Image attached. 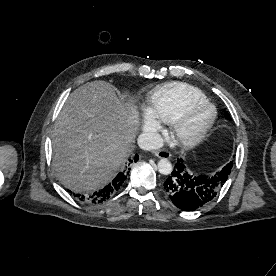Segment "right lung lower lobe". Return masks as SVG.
<instances>
[{
  "label": "right lung lower lobe",
  "mask_w": 276,
  "mask_h": 276,
  "mask_svg": "<svg viewBox=\"0 0 276 276\" xmlns=\"http://www.w3.org/2000/svg\"><path fill=\"white\" fill-rule=\"evenodd\" d=\"M139 159L138 154H135V156L129 158L127 166L121 170L117 176L114 177V179L106 185L104 188L92 193L91 195H80V194H74L76 197H78L81 201H87L92 203H101L105 201L106 199L110 198L114 194L117 193V191L122 187L124 184V181L129 174V166L137 162Z\"/></svg>",
  "instance_id": "98d812e1"
}]
</instances>
